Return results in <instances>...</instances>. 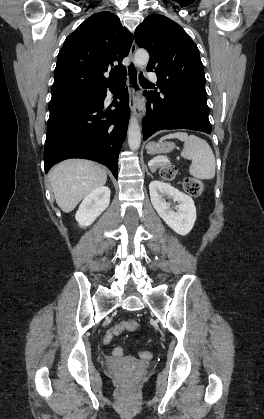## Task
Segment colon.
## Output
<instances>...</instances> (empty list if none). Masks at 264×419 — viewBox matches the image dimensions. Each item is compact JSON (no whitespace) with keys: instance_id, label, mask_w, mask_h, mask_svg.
<instances>
[{"instance_id":"colon-1","label":"colon","mask_w":264,"mask_h":419,"mask_svg":"<svg viewBox=\"0 0 264 419\" xmlns=\"http://www.w3.org/2000/svg\"><path fill=\"white\" fill-rule=\"evenodd\" d=\"M161 177L166 181H171L176 176V168L174 166H166L161 169ZM184 190L190 195H198L202 192L204 188V183L200 180L194 178H187L183 183ZM120 330L122 331H135L138 328V323L135 320H126L119 324ZM116 335L115 331H108L105 334L104 342H111L112 338ZM140 357L144 360H149L152 358V354L149 351L140 352Z\"/></svg>"}]
</instances>
